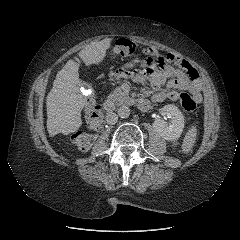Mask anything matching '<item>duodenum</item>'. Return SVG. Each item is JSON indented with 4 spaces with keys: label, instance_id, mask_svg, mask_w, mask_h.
I'll return each instance as SVG.
<instances>
[{
    "label": "duodenum",
    "instance_id": "410a0bca",
    "mask_svg": "<svg viewBox=\"0 0 240 240\" xmlns=\"http://www.w3.org/2000/svg\"><path fill=\"white\" fill-rule=\"evenodd\" d=\"M149 102L147 100H144V99H141L139 102H138V108L142 111H146L149 109ZM115 108V105L113 103L112 100H106L105 103H104V109L107 111V112H112Z\"/></svg>",
    "mask_w": 240,
    "mask_h": 240
}]
</instances>
